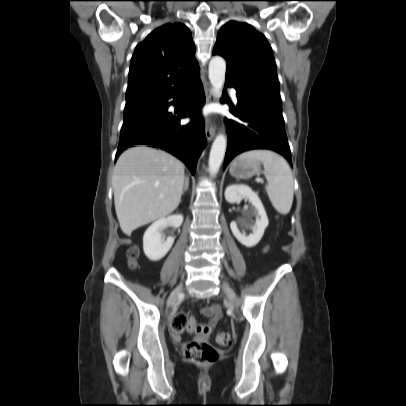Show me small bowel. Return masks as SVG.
<instances>
[{
  "label": "small bowel",
  "instance_id": "small-bowel-1",
  "mask_svg": "<svg viewBox=\"0 0 406 406\" xmlns=\"http://www.w3.org/2000/svg\"><path fill=\"white\" fill-rule=\"evenodd\" d=\"M202 313L206 316V317H211V323L209 327V331H205L202 334L207 335L211 328L214 326L215 322L217 321V319L221 316V310H220V306L217 304L211 305V306H207L204 307L202 309ZM173 338L175 340H179L180 339V335L179 333H175L173 334Z\"/></svg>",
  "mask_w": 406,
  "mask_h": 406
}]
</instances>
